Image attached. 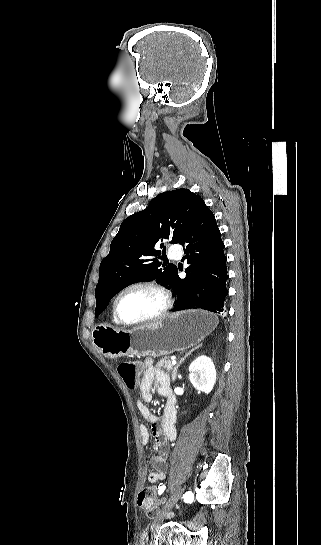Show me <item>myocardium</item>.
<instances>
[{"instance_id": "f54148a6", "label": "myocardium", "mask_w": 321, "mask_h": 545, "mask_svg": "<svg viewBox=\"0 0 321 545\" xmlns=\"http://www.w3.org/2000/svg\"><path fill=\"white\" fill-rule=\"evenodd\" d=\"M134 289H149V290H152L156 293H158L162 299H163V306L162 308L153 316H150L146 319H143V320H140V321H137V322H127L125 321L120 313H119V309H118V305H119V300L120 298L122 297L123 294H125L126 292L130 291V290H134ZM173 298H172V294L170 293V291L164 287L163 285L159 284V283H156V282H137V283H133V284H130L128 286H126L125 288L121 289L118 294L116 295L115 299H114V302H113V313H114V316L117 320V322L122 325V326H125V327H140V326H143V325H147V324H150V323H153V322H156L160 319H162L172 308H173Z\"/></svg>"}]
</instances>
